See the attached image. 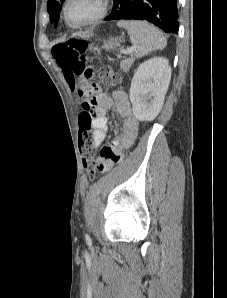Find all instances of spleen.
Returning a JSON list of instances; mask_svg holds the SVG:
<instances>
[{"label":"spleen","instance_id":"1","mask_svg":"<svg viewBox=\"0 0 227 298\" xmlns=\"http://www.w3.org/2000/svg\"><path fill=\"white\" fill-rule=\"evenodd\" d=\"M117 26L127 30L130 42L137 47L135 52L137 58H141L152 51L163 49L167 44L164 35L145 21L121 20Z\"/></svg>","mask_w":227,"mask_h":298}]
</instances>
